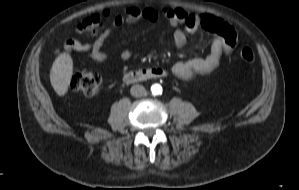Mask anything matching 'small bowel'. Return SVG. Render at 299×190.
Wrapping results in <instances>:
<instances>
[{
    "mask_svg": "<svg viewBox=\"0 0 299 190\" xmlns=\"http://www.w3.org/2000/svg\"><path fill=\"white\" fill-rule=\"evenodd\" d=\"M165 15L170 26L174 29L173 41L177 47H181L186 43V33H193L199 26H202L200 22L202 17L209 19L208 24L204 27L215 34L207 56L177 61L173 65L172 73L182 80L212 72L218 66L221 57L224 54H229L236 44L237 35L234 28L216 16L205 15L201 17L188 12L184 8H169L166 10ZM159 17V11L154 8L128 5L124 10V15L116 16L113 24L114 26L130 25L140 19H146L154 23L158 21ZM109 32L108 29L105 30L93 43H83L74 38H68L65 41L64 49L66 51L88 52L93 60L103 62L106 59V54L102 47ZM57 52L59 51L57 50ZM130 56L129 51L121 53L123 59H128Z\"/></svg>",
    "mask_w": 299,
    "mask_h": 190,
    "instance_id": "c3829d8e",
    "label": "small bowel"
}]
</instances>
